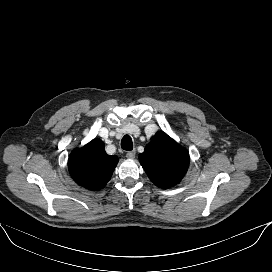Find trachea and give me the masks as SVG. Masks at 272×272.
<instances>
[{"instance_id":"3493384b","label":"trachea","mask_w":272,"mask_h":272,"mask_svg":"<svg viewBox=\"0 0 272 272\" xmlns=\"http://www.w3.org/2000/svg\"><path fill=\"white\" fill-rule=\"evenodd\" d=\"M121 148L126 151H131L133 149V142L129 135H125L121 140Z\"/></svg>"}]
</instances>
